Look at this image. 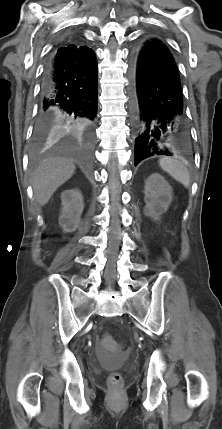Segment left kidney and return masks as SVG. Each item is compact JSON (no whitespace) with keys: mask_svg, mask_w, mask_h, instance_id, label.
<instances>
[{"mask_svg":"<svg viewBox=\"0 0 222 429\" xmlns=\"http://www.w3.org/2000/svg\"><path fill=\"white\" fill-rule=\"evenodd\" d=\"M146 206L145 215L153 220H159L160 216L168 210L172 202V188L160 174L153 173L145 181Z\"/></svg>","mask_w":222,"mask_h":429,"instance_id":"5707ae66","label":"left kidney"}]
</instances>
